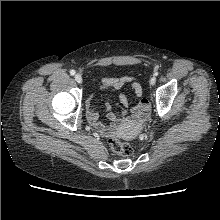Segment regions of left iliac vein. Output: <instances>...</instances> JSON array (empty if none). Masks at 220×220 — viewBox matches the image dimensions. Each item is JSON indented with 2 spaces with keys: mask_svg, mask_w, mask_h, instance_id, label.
I'll return each mask as SVG.
<instances>
[{
  "mask_svg": "<svg viewBox=\"0 0 220 220\" xmlns=\"http://www.w3.org/2000/svg\"><path fill=\"white\" fill-rule=\"evenodd\" d=\"M156 83V77L155 76H153V77H151V79H150V85H154Z\"/></svg>",
  "mask_w": 220,
  "mask_h": 220,
  "instance_id": "obj_1",
  "label": "left iliac vein"
}]
</instances>
